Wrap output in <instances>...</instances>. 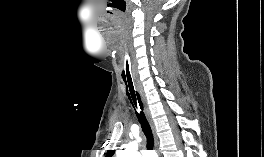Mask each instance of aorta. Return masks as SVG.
Instances as JSON below:
<instances>
[{
	"mask_svg": "<svg viewBox=\"0 0 264 157\" xmlns=\"http://www.w3.org/2000/svg\"><path fill=\"white\" fill-rule=\"evenodd\" d=\"M117 157H137V142H131L125 150L118 151Z\"/></svg>",
	"mask_w": 264,
	"mask_h": 157,
	"instance_id": "762f6f07",
	"label": "aorta"
}]
</instances>
